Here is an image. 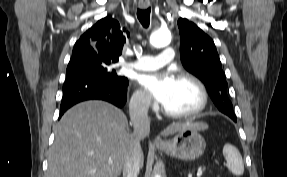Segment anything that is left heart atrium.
<instances>
[{"label": "left heart atrium", "mask_w": 287, "mask_h": 177, "mask_svg": "<svg viewBox=\"0 0 287 177\" xmlns=\"http://www.w3.org/2000/svg\"><path fill=\"white\" fill-rule=\"evenodd\" d=\"M141 84L144 89L158 103L164 104L176 79L167 73L144 75L141 77Z\"/></svg>", "instance_id": "1"}]
</instances>
